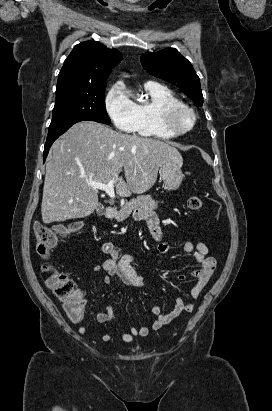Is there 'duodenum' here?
I'll return each instance as SVG.
<instances>
[{"label": "duodenum", "mask_w": 272, "mask_h": 411, "mask_svg": "<svg viewBox=\"0 0 272 411\" xmlns=\"http://www.w3.org/2000/svg\"><path fill=\"white\" fill-rule=\"evenodd\" d=\"M117 212V209L114 207H107L104 211V217L106 218H113L115 213Z\"/></svg>", "instance_id": "duodenum-1"}]
</instances>
